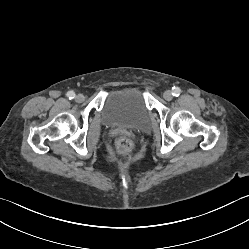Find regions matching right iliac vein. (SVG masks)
<instances>
[{"mask_svg": "<svg viewBox=\"0 0 249 249\" xmlns=\"http://www.w3.org/2000/svg\"><path fill=\"white\" fill-rule=\"evenodd\" d=\"M75 99L78 103H81L85 100V97L83 94H78Z\"/></svg>", "mask_w": 249, "mask_h": 249, "instance_id": "1", "label": "right iliac vein"}]
</instances>
